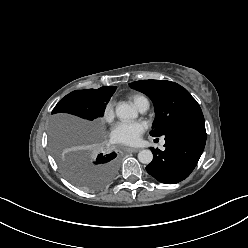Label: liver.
Instances as JSON below:
<instances>
[{"label": "liver", "mask_w": 248, "mask_h": 248, "mask_svg": "<svg viewBox=\"0 0 248 248\" xmlns=\"http://www.w3.org/2000/svg\"><path fill=\"white\" fill-rule=\"evenodd\" d=\"M61 133H79L81 135L93 136L95 128L91 124L70 117H58L54 122Z\"/></svg>", "instance_id": "liver-1"}]
</instances>
